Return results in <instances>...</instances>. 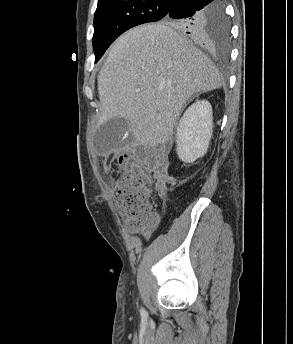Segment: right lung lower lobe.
<instances>
[{
  "label": "right lung lower lobe",
  "instance_id": "right-lung-lower-lobe-1",
  "mask_svg": "<svg viewBox=\"0 0 293 344\" xmlns=\"http://www.w3.org/2000/svg\"><path fill=\"white\" fill-rule=\"evenodd\" d=\"M219 0H175L167 18L182 20V29L193 40L201 44L206 43L207 26L201 18L211 14ZM221 1V0H220Z\"/></svg>",
  "mask_w": 293,
  "mask_h": 344
}]
</instances>
